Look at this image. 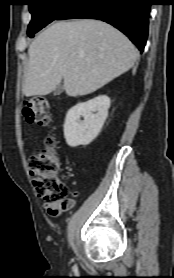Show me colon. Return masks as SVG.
I'll return each instance as SVG.
<instances>
[{
  "label": "colon",
  "mask_w": 174,
  "mask_h": 278,
  "mask_svg": "<svg viewBox=\"0 0 174 278\" xmlns=\"http://www.w3.org/2000/svg\"><path fill=\"white\" fill-rule=\"evenodd\" d=\"M22 113L28 123L41 126L51 123V116L43 98L28 99ZM56 145L54 137H48L45 146L36 151L29 160L35 191L47 204H64L68 201L69 190L59 178L60 161Z\"/></svg>",
  "instance_id": "colon-1"
}]
</instances>
